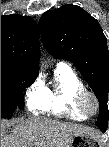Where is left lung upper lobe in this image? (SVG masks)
<instances>
[{"label": "left lung upper lobe", "instance_id": "1", "mask_svg": "<svg viewBox=\"0 0 109 147\" xmlns=\"http://www.w3.org/2000/svg\"><path fill=\"white\" fill-rule=\"evenodd\" d=\"M46 50L71 61L92 88L100 104L96 125L107 127L109 111V51L98 21L81 7L63 5L47 11L39 21Z\"/></svg>", "mask_w": 109, "mask_h": 147}]
</instances>
